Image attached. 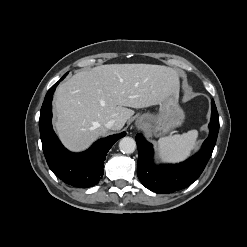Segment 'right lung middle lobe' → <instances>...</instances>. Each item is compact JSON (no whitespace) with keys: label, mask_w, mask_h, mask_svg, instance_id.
Here are the masks:
<instances>
[{"label":"right lung middle lobe","mask_w":247,"mask_h":247,"mask_svg":"<svg viewBox=\"0 0 247 247\" xmlns=\"http://www.w3.org/2000/svg\"><path fill=\"white\" fill-rule=\"evenodd\" d=\"M67 74H65L60 80H62Z\"/></svg>","instance_id":"1"}]
</instances>
